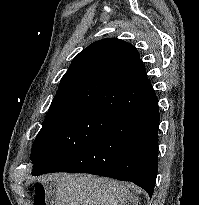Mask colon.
Here are the masks:
<instances>
[{
  "mask_svg": "<svg viewBox=\"0 0 199 205\" xmlns=\"http://www.w3.org/2000/svg\"><path fill=\"white\" fill-rule=\"evenodd\" d=\"M35 205H46L44 202V197L37 195L35 199Z\"/></svg>",
  "mask_w": 199,
  "mask_h": 205,
  "instance_id": "5ec220e1",
  "label": "colon"
}]
</instances>
